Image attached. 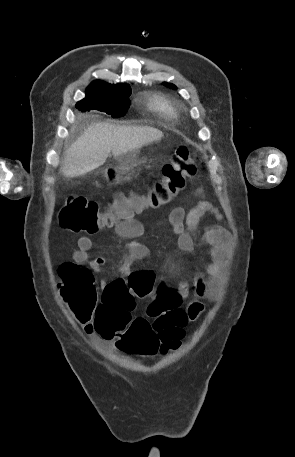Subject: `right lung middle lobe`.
<instances>
[{
  "mask_svg": "<svg viewBox=\"0 0 295 457\" xmlns=\"http://www.w3.org/2000/svg\"><path fill=\"white\" fill-rule=\"evenodd\" d=\"M130 94V87L116 91L86 90V97L79 101L76 107L81 111L95 109L118 118L126 114L130 106Z\"/></svg>",
  "mask_w": 295,
  "mask_h": 457,
  "instance_id": "obj_1",
  "label": "right lung middle lobe"
}]
</instances>
